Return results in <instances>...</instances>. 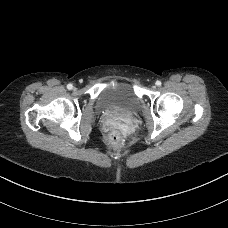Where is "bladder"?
I'll list each match as a JSON object with an SVG mask.
<instances>
[{
    "label": "bladder",
    "mask_w": 228,
    "mask_h": 228,
    "mask_svg": "<svg viewBox=\"0 0 228 228\" xmlns=\"http://www.w3.org/2000/svg\"><path fill=\"white\" fill-rule=\"evenodd\" d=\"M139 103V98L136 95L133 87L124 81L114 83L107 86L97 99V109L105 110H134Z\"/></svg>",
    "instance_id": "bladder-1"
}]
</instances>
